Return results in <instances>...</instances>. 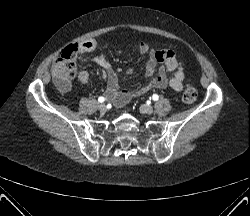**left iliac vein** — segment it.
I'll return each mask as SVG.
<instances>
[{
  "label": "left iliac vein",
  "mask_w": 250,
  "mask_h": 216,
  "mask_svg": "<svg viewBox=\"0 0 250 216\" xmlns=\"http://www.w3.org/2000/svg\"><path fill=\"white\" fill-rule=\"evenodd\" d=\"M140 111L144 114H151L153 112V107L150 105H141L140 106Z\"/></svg>",
  "instance_id": "left-iliac-vein-1"
}]
</instances>
